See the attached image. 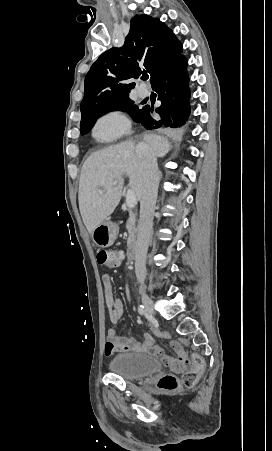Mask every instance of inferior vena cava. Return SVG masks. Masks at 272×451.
<instances>
[{"mask_svg":"<svg viewBox=\"0 0 272 451\" xmlns=\"http://www.w3.org/2000/svg\"><path fill=\"white\" fill-rule=\"evenodd\" d=\"M136 154L144 172L142 196L140 198V220L135 245V273L139 283H144L147 249L159 186V172L156 156L148 144L140 142L136 148Z\"/></svg>","mask_w":272,"mask_h":451,"instance_id":"602c4592","label":"inferior vena cava"}]
</instances>
